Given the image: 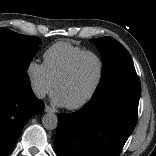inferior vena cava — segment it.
<instances>
[{
    "mask_svg": "<svg viewBox=\"0 0 156 156\" xmlns=\"http://www.w3.org/2000/svg\"><path fill=\"white\" fill-rule=\"evenodd\" d=\"M32 90H33V93L35 94V96L40 98V99L44 98L46 95L45 88L40 84L33 83L32 84Z\"/></svg>",
    "mask_w": 156,
    "mask_h": 156,
    "instance_id": "602c4592",
    "label": "inferior vena cava"
}]
</instances>
